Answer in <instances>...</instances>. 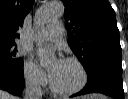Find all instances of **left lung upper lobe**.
<instances>
[{"label": "left lung upper lobe", "mask_w": 128, "mask_h": 99, "mask_svg": "<svg viewBox=\"0 0 128 99\" xmlns=\"http://www.w3.org/2000/svg\"><path fill=\"white\" fill-rule=\"evenodd\" d=\"M62 1L68 44L85 69L100 57H122L115 12L108 0Z\"/></svg>", "instance_id": "5c2ea615"}]
</instances>
